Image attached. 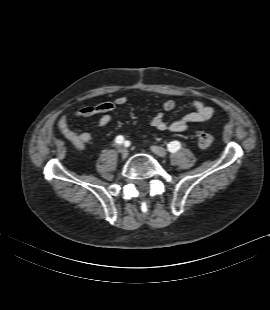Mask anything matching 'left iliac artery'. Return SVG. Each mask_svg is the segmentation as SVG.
Masks as SVG:
<instances>
[{"instance_id": "44dca946", "label": "left iliac artery", "mask_w": 270, "mask_h": 310, "mask_svg": "<svg viewBox=\"0 0 270 310\" xmlns=\"http://www.w3.org/2000/svg\"><path fill=\"white\" fill-rule=\"evenodd\" d=\"M181 148V144L178 141H173L170 144H168V150L170 152H176L177 150H179Z\"/></svg>"}]
</instances>
